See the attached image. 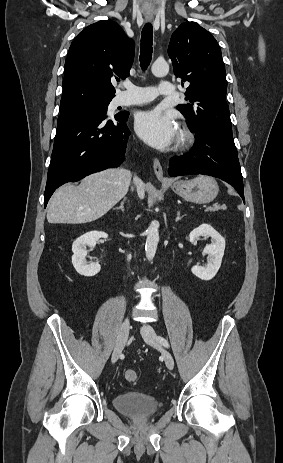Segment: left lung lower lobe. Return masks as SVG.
<instances>
[{
  "label": "left lung lower lobe",
  "instance_id": "left-lung-lower-lobe-1",
  "mask_svg": "<svg viewBox=\"0 0 283 463\" xmlns=\"http://www.w3.org/2000/svg\"><path fill=\"white\" fill-rule=\"evenodd\" d=\"M194 132L197 139L193 151L173 157L169 174H205L220 178L231 184L244 200L243 180L234 140L213 131Z\"/></svg>",
  "mask_w": 283,
  "mask_h": 463
}]
</instances>
